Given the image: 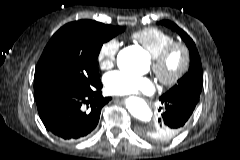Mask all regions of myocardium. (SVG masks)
I'll return each mask as SVG.
<instances>
[{"label":"myocardium","instance_id":"myocardium-1","mask_svg":"<svg viewBox=\"0 0 240 160\" xmlns=\"http://www.w3.org/2000/svg\"><path fill=\"white\" fill-rule=\"evenodd\" d=\"M174 53H178L180 55V64L174 73L168 74V62ZM152 65L159 82L165 87H173L183 79L189 69V50L182 43L172 42L162 49L159 54L152 56Z\"/></svg>","mask_w":240,"mask_h":160}]
</instances>
